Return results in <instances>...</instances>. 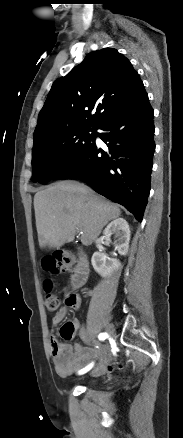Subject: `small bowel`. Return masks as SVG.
Listing matches in <instances>:
<instances>
[{"label": "small bowel", "instance_id": "obj_1", "mask_svg": "<svg viewBox=\"0 0 183 438\" xmlns=\"http://www.w3.org/2000/svg\"><path fill=\"white\" fill-rule=\"evenodd\" d=\"M81 301L77 297V301L73 304L66 302L67 308L74 310L79 309ZM61 308L53 317V325H58L63 321L67 314V308ZM75 330L79 332V335L85 341L88 339L86 331L81 327L80 322L77 319L70 321ZM50 350L52 354V361L56 373L60 377H68L74 372L82 368L92 358L98 355V351L95 347H83L80 344L70 345L66 342H61L55 334L50 336ZM108 371V365L104 361L94 369V375H101Z\"/></svg>", "mask_w": 183, "mask_h": 438}]
</instances>
